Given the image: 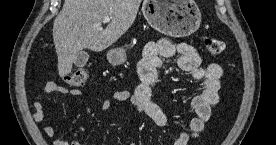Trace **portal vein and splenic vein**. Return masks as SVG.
<instances>
[{"label": "portal vein and splenic vein", "instance_id": "portal-vein-and-splenic-vein-1", "mask_svg": "<svg viewBox=\"0 0 276 145\" xmlns=\"http://www.w3.org/2000/svg\"><path fill=\"white\" fill-rule=\"evenodd\" d=\"M110 20H111V17H109V16H105V17L102 19V21H103L104 23H108V22H110Z\"/></svg>", "mask_w": 276, "mask_h": 145}]
</instances>
